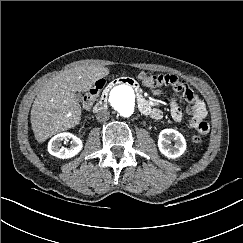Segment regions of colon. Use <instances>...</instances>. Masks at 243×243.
Masks as SVG:
<instances>
[{
    "instance_id": "1",
    "label": "colon",
    "mask_w": 243,
    "mask_h": 243,
    "mask_svg": "<svg viewBox=\"0 0 243 243\" xmlns=\"http://www.w3.org/2000/svg\"><path fill=\"white\" fill-rule=\"evenodd\" d=\"M138 78L145 86L150 88H158L167 84V78L164 75L140 73ZM104 84V80H98L95 85L86 93L84 98L86 105L90 106L93 103L97 95L103 89ZM191 140L195 144L202 142V138L199 135H193Z\"/></svg>"
}]
</instances>
